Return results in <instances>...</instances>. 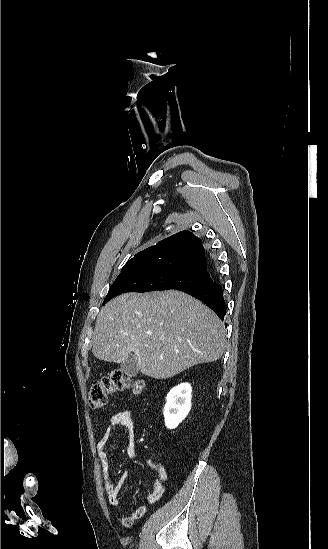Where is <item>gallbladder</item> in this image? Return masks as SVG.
<instances>
[{"mask_svg":"<svg viewBox=\"0 0 328 549\" xmlns=\"http://www.w3.org/2000/svg\"><path fill=\"white\" fill-rule=\"evenodd\" d=\"M121 371H123L125 375H128V377H136V375H138L139 367L137 365L135 355H132L131 353L127 361L121 363Z\"/></svg>","mask_w":328,"mask_h":549,"instance_id":"gallbladder-1","label":"gallbladder"}]
</instances>
